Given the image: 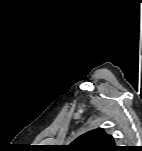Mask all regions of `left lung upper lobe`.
Returning <instances> with one entry per match:
<instances>
[{
	"label": "left lung upper lobe",
	"instance_id": "5c2ea615",
	"mask_svg": "<svg viewBox=\"0 0 142 151\" xmlns=\"http://www.w3.org/2000/svg\"><path fill=\"white\" fill-rule=\"evenodd\" d=\"M68 148L73 151H116L120 147L115 146L111 135L105 133L102 128L91 130L75 139Z\"/></svg>",
	"mask_w": 142,
	"mask_h": 151
}]
</instances>
